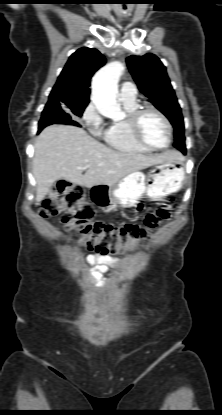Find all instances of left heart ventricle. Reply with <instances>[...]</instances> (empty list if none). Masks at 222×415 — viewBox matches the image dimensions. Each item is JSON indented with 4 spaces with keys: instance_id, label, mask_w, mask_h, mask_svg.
<instances>
[{
    "instance_id": "b2bd125f",
    "label": "left heart ventricle",
    "mask_w": 222,
    "mask_h": 415,
    "mask_svg": "<svg viewBox=\"0 0 222 415\" xmlns=\"http://www.w3.org/2000/svg\"><path fill=\"white\" fill-rule=\"evenodd\" d=\"M141 131L144 139L154 146H164L168 132L163 120L155 113H145L141 119Z\"/></svg>"
}]
</instances>
